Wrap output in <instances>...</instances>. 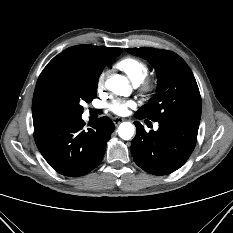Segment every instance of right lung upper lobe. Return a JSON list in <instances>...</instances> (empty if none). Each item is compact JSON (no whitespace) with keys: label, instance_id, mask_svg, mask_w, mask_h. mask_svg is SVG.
Wrapping results in <instances>:
<instances>
[{"label":"right lung upper lobe","instance_id":"right-lung-upper-lobe-1","mask_svg":"<svg viewBox=\"0 0 233 233\" xmlns=\"http://www.w3.org/2000/svg\"><path fill=\"white\" fill-rule=\"evenodd\" d=\"M111 48L82 44L67 48L54 57L40 74L34 91L32 116L34 130L64 118L53 99V90L59 77L72 69L96 66Z\"/></svg>","mask_w":233,"mask_h":233}]
</instances>
